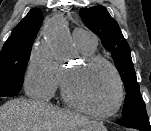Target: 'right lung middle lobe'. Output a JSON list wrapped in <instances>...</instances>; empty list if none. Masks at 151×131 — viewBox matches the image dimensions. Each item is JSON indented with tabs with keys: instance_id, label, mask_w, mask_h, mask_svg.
Here are the masks:
<instances>
[{
	"instance_id": "dd1d6c3e",
	"label": "right lung middle lobe",
	"mask_w": 151,
	"mask_h": 131,
	"mask_svg": "<svg viewBox=\"0 0 151 131\" xmlns=\"http://www.w3.org/2000/svg\"><path fill=\"white\" fill-rule=\"evenodd\" d=\"M31 46L2 48L0 52V97L15 96L21 90Z\"/></svg>"
}]
</instances>
